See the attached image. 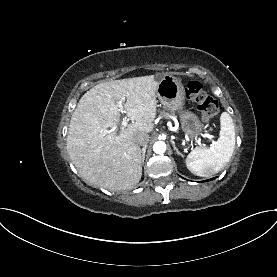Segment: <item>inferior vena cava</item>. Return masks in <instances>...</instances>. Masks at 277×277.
Masks as SVG:
<instances>
[{"label": "inferior vena cava", "instance_id": "inferior-vena-cava-1", "mask_svg": "<svg viewBox=\"0 0 277 277\" xmlns=\"http://www.w3.org/2000/svg\"><path fill=\"white\" fill-rule=\"evenodd\" d=\"M135 142L140 146H146L149 142V135L147 133H138L134 137Z\"/></svg>", "mask_w": 277, "mask_h": 277}]
</instances>
